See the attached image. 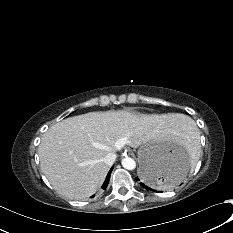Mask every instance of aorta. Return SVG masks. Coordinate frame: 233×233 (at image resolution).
Returning a JSON list of instances; mask_svg holds the SVG:
<instances>
[{"label": "aorta", "instance_id": "aorta-1", "mask_svg": "<svg viewBox=\"0 0 233 233\" xmlns=\"http://www.w3.org/2000/svg\"><path fill=\"white\" fill-rule=\"evenodd\" d=\"M121 164L127 170H133L136 167V162L130 157L123 158Z\"/></svg>", "mask_w": 233, "mask_h": 233}]
</instances>
